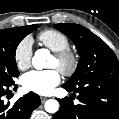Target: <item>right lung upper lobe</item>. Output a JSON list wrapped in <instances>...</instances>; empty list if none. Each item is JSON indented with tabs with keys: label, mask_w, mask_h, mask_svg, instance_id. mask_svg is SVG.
Here are the masks:
<instances>
[{
	"label": "right lung upper lobe",
	"mask_w": 119,
	"mask_h": 119,
	"mask_svg": "<svg viewBox=\"0 0 119 119\" xmlns=\"http://www.w3.org/2000/svg\"><path fill=\"white\" fill-rule=\"evenodd\" d=\"M25 27V26H24ZM24 27H19V28H9V29H3V30H21L23 29Z\"/></svg>",
	"instance_id": "1"
}]
</instances>
